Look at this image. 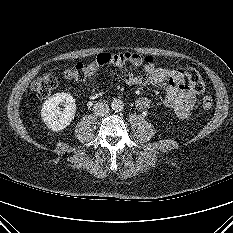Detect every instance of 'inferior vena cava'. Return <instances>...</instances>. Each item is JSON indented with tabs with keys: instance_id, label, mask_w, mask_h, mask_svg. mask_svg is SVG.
Instances as JSON below:
<instances>
[{
	"instance_id": "602c4592",
	"label": "inferior vena cava",
	"mask_w": 233,
	"mask_h": 233,
	"mask_svg": "<svg viewBox=\"0 0 233 233\" xmlns=\"http://www.w3.org/2000/svg\"><path fill=\"white\" fill-rule=\"evenodd\" d=\"M96 116H104L109 112V106L106 102H98L93 107Z\"/></svg>"
}]
</instances>
